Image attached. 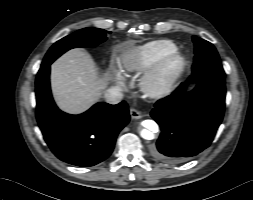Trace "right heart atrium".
<instances>
[{
    "label": "right heart atrium",
    "mask_w": 253,
    "mask_h": 200,
    "mask_svg": "<svg viewBox=\"0 0 253 200\" xmlns=\"http://www.w3.org/2000/svg\"><path fill=\"white\" fill-rule=\"evenodd\" d=\"M113 75H114V79L116 81V83L120 86L123 85V80L121 78V76L119 75V73H117L116 71H113Z\"/></svg>",
    "instance_id": "1"
}]
</instances>
